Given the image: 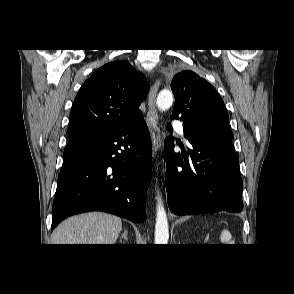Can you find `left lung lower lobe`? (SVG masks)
I'll list each match as a JSON object with an SVG mask.
<instances>
[{"label":"left lung lower lobe","mask_w":294,"mask_h":294,"mask_svg":"<svg viewBox=\"0 0 294 294\" xmlns=\"http://www.w3.org/2000/svg\"><path fill=\"white\" fill-rule=\"evenodd\" d=\"M171 131L172 127L168 125ZM188 152L174 153V139L166 138L168 206L176 215L241 212L242 179L231 140L186 136ZM183 159L185 163H183Z\"/></svg>","instance_id":"left-lung-lower-lobe-1"}]
</instances>
